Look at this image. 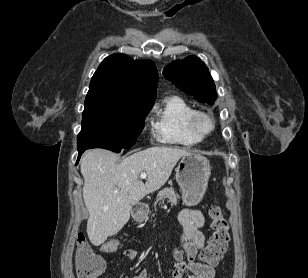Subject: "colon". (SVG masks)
I'll list each match as a JSON object with an SVG mask.
<instances>
[{
	"label": "colon",
	"mask_w": 308,
	"mask_h": 278,
	"mask_svg": "<svg viewBox=\"0 0 308 278\" xmlns=\"http://www.w3.org/2000/svg\"><path fill=\"white\" fill-rule=\"evenodd\" d=\"M208 214L211 219L212 235L207 246L201 251L200 258L204 264L213 267L217 265L227 250L229 226L218 206H211ZM119 249L120 244L117 239H114L105 240L99 250L100 253H116ZM75 266L78 278H98L104 271L103 259L94 252L83 234L77 238Z\"/></svg>",
	"instance_id": "5ec220e1"
}]
</instances>
